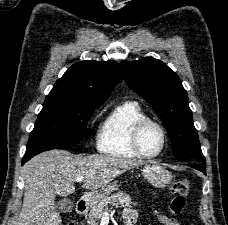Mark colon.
Segmentation results:
<instances>
[{"label":"colon","mask_w":228,"mask_h":225,"mask_svg":"<svg viewBox=\"0 0 228 225\" xmlns=\"http://www.w3.org/2000/svg\"><path fill=\"white\" fill-rule=\"evenodd\" d=\"M189 181L186 179L175 180L171 185L172 200L170 202V214L179 217L183 214L186 199L189 194Z\"/></svg>","instance_id":"5ec220e1"}]
</instances>
